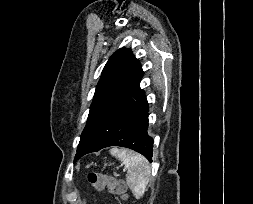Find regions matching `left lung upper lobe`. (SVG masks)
Here are the masks:
<instances>
[{"label": "left lung upper lobe", "mask_w": 253, "mask_h": 204, "mask_svg": "<svg viewBox=\"0 0 253 204\" xmlns=\"http://www.w3.org/2000/svg\"><path fill=\"white\" fill-rule=\"evenodd\" d=\"M143 74L138 59L130 49L117 50L103 69L90 107L86 127L98 116L131 95L139 87ZM83 132L78 148L81 146Z\"/></svg>", "instance_id": "obj_1"}]
</instances>
